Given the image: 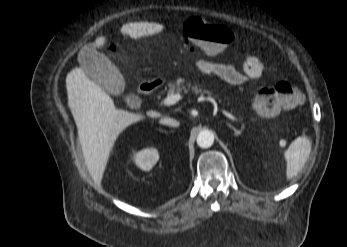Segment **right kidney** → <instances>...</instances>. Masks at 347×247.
<instances>
[{"label": "right kidney", "instance_id": "obj_1", "mask_svg": "<svg viewBox=\"0 0 347 247\" xmlns=\"http://www.w3.org/2000/svg\"><path fill=\"white\" fill-rule=\"evenodd\" d=\"M159 160V153L155 148H145L134 155V162L143 171H150Z\"/></svg>", "mask_w": 347, "mask_h": 247}]
</instances>
